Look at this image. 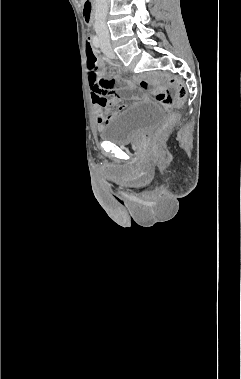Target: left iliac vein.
Segmentation results:
<instances>
[{
	"mask_svg": "<svg viewBox=\"0 0 241 379\" xmlns=\"http://www.w3.org/2000/svg\"><path fill=\"white\" fill-rule=\"evenodd\" d=\"M101 49H102V51L104 52V54H105L107 57L112 58V59L115 58V54H114V52H113L112 49H111L109 46H107L106 44H102Z\"/></svg>",
	"mask_w": 241,
	"mask_h": 379,
	"instance_id": "left-iliac-vein-1",
	"label": "left iliac vein"
}]
</instances>
